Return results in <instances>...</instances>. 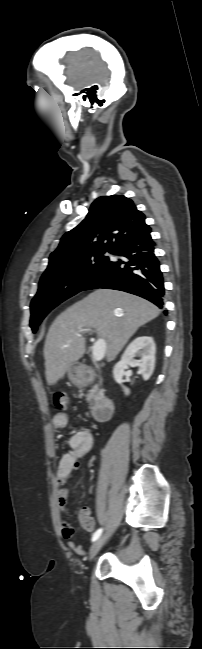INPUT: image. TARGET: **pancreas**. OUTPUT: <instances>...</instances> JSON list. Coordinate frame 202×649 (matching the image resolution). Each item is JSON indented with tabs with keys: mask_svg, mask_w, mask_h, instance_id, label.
Returning a JSON list of instances; mask_svg holds the SVG:
<instances>
[{
	"mask_svg": "<svg viewBox=\"0 0 202 649\" xmlns=\"http://www.w3.org/2000/svg\"><path fill=\"white\" fill-rule=\"evenodd\" d=\"M102 392L103 391L96 386L95 390L87 395L88 403L92 405L93 401L97 399Z\"/></svg>",
	"mask_w": 202,
	"mask_h": 649,
	"instance_id": "1",
	"label": "pancreas"
}]
</instances>
